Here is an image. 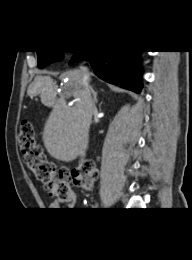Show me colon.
I'll use <instances>...</instances> for the list:
<instances>
[{
  "label": "colon",
  "mask_w": 192,
  "mask_h": 260,
  "mask_svg": "<svg viewBox=\"0 0 192 260\" xmlns=\"http://www.w3.org/2000/svg\"><path fill=\"white\" fill-rule=\"evenodd\" d=\"M18 141L26 166L51 196L58 200L66 199L72 191L71 182L85 191L93 188L98 177V169L93 161L82 159L72 170L57 171L54 163L48 160L42 147L38 144L35 130L28 121L21 123Z\"/></svg>",
  "instance_id": "1"
}]
</instances>
